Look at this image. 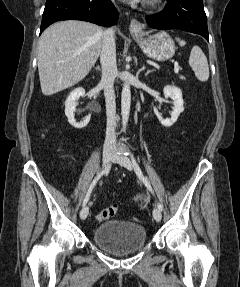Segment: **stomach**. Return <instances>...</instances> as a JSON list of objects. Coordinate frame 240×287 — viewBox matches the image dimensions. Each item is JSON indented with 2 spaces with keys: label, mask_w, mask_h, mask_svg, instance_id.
I'll return each instance as SVG.
<instances>
[{
  "label": "stomach",
  "mask_w": 240,
  "mask_h": 287,
  "mask_svg": "<svg viewBox=\"0 0 240 287\" xmlns=\"http://www.w3.org/2000/svg\"><path fill=\"white\" fill-rule=\"evenodd\" d=\"M144 54L157 61H166L175 54V43L165 31L154 35L144 36L143 34H133Z\"/></svg>",
  "instance_id": "stomach-1"
}]
</instances>
